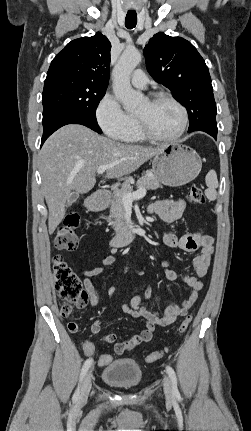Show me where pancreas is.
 <instances>
[{
	"instance_id": "1",
	"label": "pancreas",
	"mask_w": 251,
	"mask_h": 431,
	"mask_svg": "<svg viewBox=\"0 0 251 431\" xmlns=\"http://www.w3.org/2000/svg\"><path fill=\"white\" fill-rule=\"evenodd\" d=\"M133 182V178H128L121 185V188H117L113 191L111 195L110 202V215L107 217V221L109 225H111L116 234H120L123 231L127 230V224L125 222V205L122 201V197L126 193H132L133 187L131 183ZM137 188H145L148 190H155L161 187L160 182L155 178L151 171H147L146 175L139 178L136 183Z\"/></svg>"
}]
</instances>
